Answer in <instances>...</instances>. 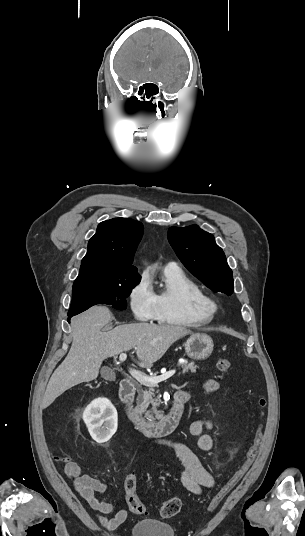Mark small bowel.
Segmentation results:
<instances>
[{"mask_svg":"<svg viewBox=\"0 0 305 536\" xmlns=\"http://www.w3.org/2000/svg\"><path fill=\"white\" fill-rule=\"evenodd\" d=\"M219 387L220 384L213 379L204 383V390L207 392L216 391ZM182 392L186 401L189 400L190 394L187 391ZM210 427L211 423L204 419L196 420L190 425V433L197 438V446L203 451H209L212 448V439L205 433V430ZM162 445L172 449L181 461L182 468L179 470V475L182 484L188 491L193 494H201L204 488L214 487L213 476L188 445L176 440H166ZM64 471L82 499L97 512V518L105 529L115 530L126 520L129 512L127 508L119 510L112 518L106 517L113 512V506L97 497L98 493H104L107 490L108 485L105 481L82 474L78 463L72 460L66 462Z\"/></svg>","mask_w":305,"mask_h":536,"instance_id":"small-bowel-1","label":"small bowel"}]
</instances>
